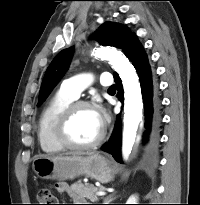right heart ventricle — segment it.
I'll list each match as a JSON object with an SVG mask.
<instances>
[{
  "instance_id": "e07e8e85",
  "label": "right heart ventricle",
  "mask_w": 200,
  "mask_h": 205,
  "mask_svg": "<svg viewBox=\"0 0 200 205\" xmlns=\"http://www.w3.org/2000/svg\"><path fill=\"white\" fill-rule=\"evenodd\" d=\"M74 100L60 90L43 108L39 117L38 140L44 152L57 153L64 149L56 139L55 126L62 111Z\"/></svg>"
}]
</instances>
